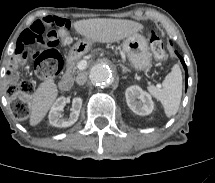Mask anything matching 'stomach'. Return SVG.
<instances>
[{"instance_id":"0dacf381","label":"stomach","mask_w":215,"mask_h":183,"mask_svg":"<svg viewBox=\"0 0 215 183\" xmlns=\"http://www.w3.org/2000/svg\"><path fill=\"white\" fill-rule=\"evenodd\" d=\"M92 41L84 39L70 49L67 60L69 62L79 58L88 52ZM123 50L126 53L131 65L137 71H146L151 67L152 54L148 42L141 34L135 33L123 41Z\"/></svg>"}]
</instances>
